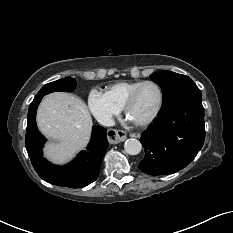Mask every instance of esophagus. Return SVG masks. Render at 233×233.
Returning a JSON list of instances; mask_svg holds the SVG:
<instances>
[{"label": "esophagus", "mask_w": 233, "mask_h": 233, "mask_svg": "<svg viewBox=\"0 0 233 233\" xmlns=\"http://www.w3.org/2000/svg\"><path fill=\"white\" fill-rule=\"evenodd\" d=\"M139 133H133V137H139ZM126 139V133L122 130L109 129L108 130V140L111 144H117Z\"/></svg>", "instance_id": "34e87169"}]
</instances>
